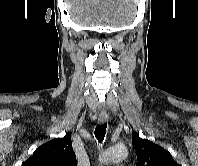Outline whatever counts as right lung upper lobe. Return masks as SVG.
I'll list each match as a JSON object with an SVG mask.
<instances>
[{
	"instance_id": "cb5924a9",
	"label": "right lung upper lobe",
	"mask_w": 198,
	"mask_h": 166,
	"mask_svg": "<svg viewBox=\"0 0 198 166\" xmlns=\"http://www.w3.org/2000/svg\"><path fill=\"white\" fill-rule=\"evenodd\" d=\"M76 155L69 133L51 140L36 149L22 166H76Z\"/></svg>"
}]
</instances>
